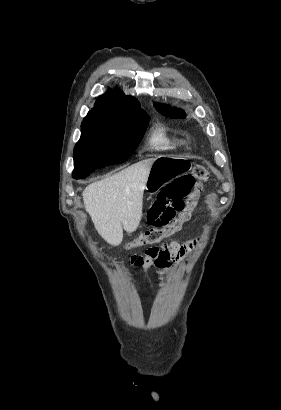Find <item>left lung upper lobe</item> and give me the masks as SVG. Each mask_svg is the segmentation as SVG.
Instances as JSON below:
<instances>
[{"label": "left lung upper lobe", "instance_id": "1", "mask_svg": "<svg viewBox=\"0 0 281 410\" xmlns=\"http://www.w3.org/2000/svg\"><path fill=\"white\" fill-rule=\"evenodd\" d=\"M155 108L162 114L170 118L174 119H180V118H186V113L177 108H172L169 105H161L157 102L153 103Z\"/></svg>", "mask_w": 281, "mask_h": 410}]
</instances>
